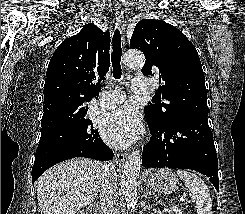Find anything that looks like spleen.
<instances>
[{"label": "spleen", "instance_id": "spleen-1", "mask_svg": "<svg viewBox=\"0 0 245 214\" xmlns=\"http://www.w3.org/2000/svg\"><path fill=\"white\" fill-rule=\"evenodd\" d=\"M177 175L188 188L192 200L196 202L197 214H213L212 199L204 181L188 170H178Z\"/></svg>", "mask_w": 245, "mask_h": 214}]
</instances>
